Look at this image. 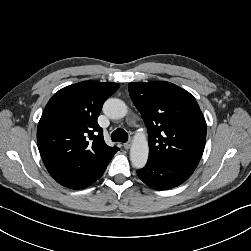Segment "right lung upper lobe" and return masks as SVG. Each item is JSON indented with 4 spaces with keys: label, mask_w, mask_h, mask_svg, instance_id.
I'll return each mask as SVG.
<instances>
[{
    "label": "right lung upper lobe",
    "mask_w": 251,
    "mask_h": 251,
    "mask_svg": "<svg viewBox=\"0 0 251 251\" xmlns=\"http://www.w3.org/2000/svg\"><path fill=\"white\" fill-rule=\"evenodd\" d=\"M119 86L83 81L62 88L47 103L38 123L37 142L48 172L58 183L94 176L119 150L105 143L97 123L103 103Z\"/></svg>",
    "instance_id": "right-lung-upper-lobe-1"
}]
</instances>
